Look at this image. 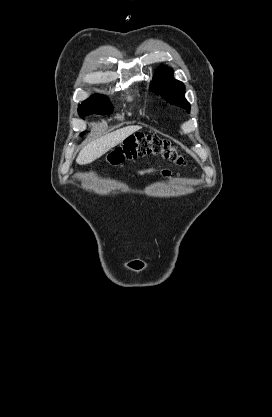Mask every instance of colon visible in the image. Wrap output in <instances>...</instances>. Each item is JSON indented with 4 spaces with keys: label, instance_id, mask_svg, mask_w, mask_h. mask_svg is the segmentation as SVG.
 <instances>
[{
    "label": "colon",
    "instance_id": "5ec220e1",
    "mask_svg": "<svg viewBox=\"0 0 272 417\" xmlns=\"http://www.w3.org/2000/svg\"><path fill=\"white\" fill-rule=\"evenodd\" d=\"M146 155H161L178 164L185 165L184 157L168 141L159 137L144 134L126 139L123 144L114 149L107 157L109 163L118 165L125 160H131Z\"/></svg>",
    "mask_w": 272,
    "mask_h": 417
}]
</instances>
